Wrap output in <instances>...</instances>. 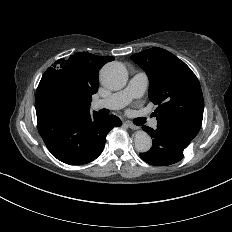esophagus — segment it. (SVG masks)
<instances>
[{
	"label": "esophagus",
	"instance_id": "obj_1",
	"mask_svg": "<svg viewBox=\"0 0 232 232\" xmlns=\"http://www.w3.org/2000/svg\"><path fill=\"white\" fill-rule=\"evenodd\" d=\"M125 124L132 130H137L139 127L134 125L132 122L130 121H126Z\"/></svg>",
	"mask_w": 232,
	"mask_h": 232
}]
</instances>
